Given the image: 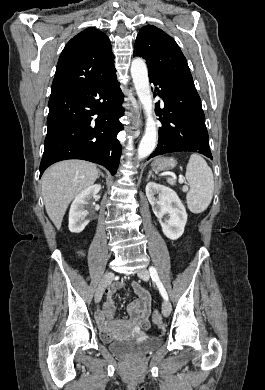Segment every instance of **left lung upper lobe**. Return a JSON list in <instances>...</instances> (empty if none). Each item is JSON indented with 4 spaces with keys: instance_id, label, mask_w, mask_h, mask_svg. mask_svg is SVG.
<instances>
[{
    "instance_id": "1",
    "label": "left lung upper lobe",
    "mask_w": 265,
    "mask_h": 390,
    "mask_svg": "<svg viewBox=\"0 0 265 390\" xmlns=\"http://www.w3.org/2000/svg\"><path fill=\"white\" fill-rule=\"evenodd\" d=\"M133 55L146 60L149 78L193 81L186 58L175 40L153 25L140 29Z\"/></svg>"
}]
</instances>
